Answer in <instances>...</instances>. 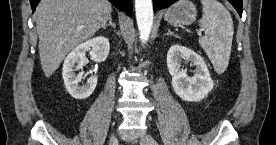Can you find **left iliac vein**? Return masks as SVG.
Instances as JSON below:
<instances>
[{"mask_svg": "<svg viewBox=\"0 0 276 145\" xmlns=\"http://www.w3.org/2000/svg\"><path fill=\"white\" fill-rule=\"evenodd\" d=\"M141 144L142 145H158L157 141L154 139L153 136L146 133L141 138Z\"/></svg>", "mask_w": 276, "mask_h": 145, "instance_id": "4c4485c4", "label": "left iliac vein"}]
</instances>
